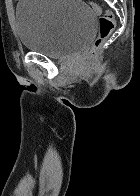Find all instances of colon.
Masks as SVG:
<instances>
[{
  "instance_id": "colon-1",
  "label": "colon",
  "mask_w": 140,
  "mask_h": 196,
  "mask_svg": "<svg viewBox=\"0 0 140 196\" xmlns=\"http://www.w3.org/2000/svg\"><path fill=\"white\" fill-rule=\"evenodd\" d=\"M90 6L98 15V35L82 60V70L89 69L96 62L104 43L115 27V18L112 12L104 10L97 3H90Z\"/></svg>"
}]
</instances>
